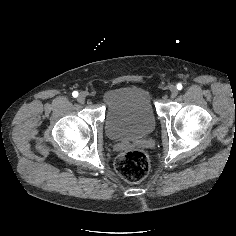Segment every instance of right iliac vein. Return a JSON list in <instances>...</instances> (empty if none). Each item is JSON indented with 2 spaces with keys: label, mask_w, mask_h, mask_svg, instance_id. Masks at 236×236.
Segmentation results:
<instances>
[{
  "label": "right iliac vein",
  "mask_w": 236,
  "mask_h": 236,
  "mask_svg": "<svg viewBox=\"0 0 236 236\" xmlns=\"http://www.w3.org/2000/svg\"><path fill=\"white\" fill-rule=\"evenodd\" d=\"M85 99H86V94L85 93H80L78 98H77V101L81 104H83L85 102Z\"/></svg>",
  "instance_id": "63e3f726"
}]
</instances>
